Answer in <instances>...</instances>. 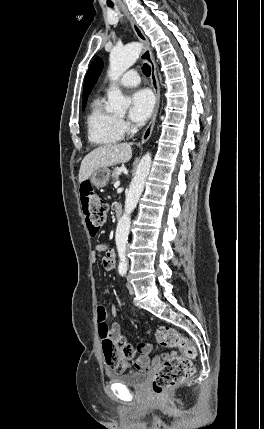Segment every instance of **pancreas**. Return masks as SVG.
<instances>
[{"label":"pancreas","instance_id":"pancreas-1","mask_svg":"<svg viewBox=\"0 0 264 429\" xmlns=\"http://www.w3.org/2000/svg\"><path fill=\"white\" fill-rule=\"evenodd\" d=\"M118 179H119L118 171L115 169L112 173V180H113V182H116V181H118Z\"/></svg>","mask_w":264,"mask_h":429}]
</instances>
